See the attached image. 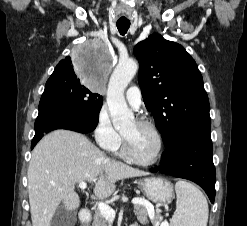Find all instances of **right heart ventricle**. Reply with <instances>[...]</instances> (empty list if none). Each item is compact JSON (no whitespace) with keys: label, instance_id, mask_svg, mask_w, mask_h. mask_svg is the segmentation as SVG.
<instances>
[{"label":"right heart ventricle","instance_id":"right-heart-ventricle-1","mask_svg":"<svg viewBox=\"0 0 247 226\" xmlns=\"http://www.w3.org/2000/svg\"><path fill=\"white\" fill-rule=\"evenodd\" d=\"M118 154L119 156H124V153L122 151V147H120V144L113 150Z\"/></svg>","mask_w":247,"mask_h":226}]
</instances>
